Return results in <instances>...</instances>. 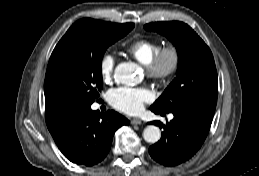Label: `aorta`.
<instances>
[{
  "instance_id": "aorta-1",
  "label": "aorta",
  "mask_w": 259,
  "mask_h": 176,
  "mask_svg": "<svg viewBox=\"0 0 259 176\" xmlns=\"http://www.w3.org/2000/svg\"><path fill=\"white\" fill-rule=\"evenodd\" d=\"M115 80L126 86H134L141 82L139 68L135 63L123 62L117 65L114 74ZM143 138L148 143H156L161 138L159 127L154 125L147 126L143 131Z\"/></svg>"
}]
</instances>
